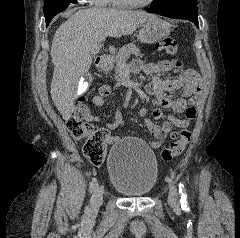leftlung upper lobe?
Wrapping results in <instances>:
<instances>
[{"label":"left lung upper lobe","instance_id":"obj_1","mask_svg":"<svg viewBox=\"0 0 240 238\" xmlns=\"http://www.w3.org/2000/svg\"><path fill=\"white\" fill-rule=\"evenodd\" d=\"M169 4H193L197 5V0H153L150 8H159Z\"/></svg>","mask_w":240,"mask_h":238}]
</instances>
